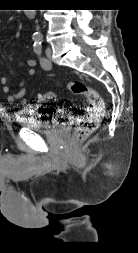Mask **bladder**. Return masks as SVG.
<instances>
[{
  "label": "bladder",
  "instance_id": "obj_1",
  "mask_svg": "<svg viewBox=\"0 0 138 253\" xmlns=\"http://www.w3.org/2000/svg\"><path fill=\"white\" fill-rule=\"evenodd\" d=\"M44 111V107L41 106H32L20 111V125L39 133H51L62 127L57 120H54L50 114Z\"/></svg>",
  "mask_w": 138,
  "mask_h": 253
}]
</instances>
